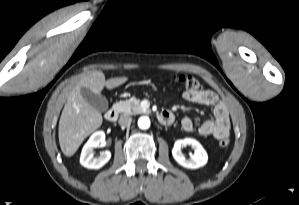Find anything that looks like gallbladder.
I'll list each match as a JSON object with an SVG mask.
<instances>
[{
    "label": "gallbladder",
    "mask_w": 299,
    "mask_h": 205,
    "mask_svg": "<svg viewBox=\"0 0 299 205\" xmlns=\"http://www.w3.org/2000/svg\"><path fill=\"white\" fill-rule=\"evenodd\" d=\"M83 98L96 110L104 112L108 109V101L105 96L101 94H95L88 88H81L80 90Z\"/></svg>",
    "instance_id": "gallbladder-1"
}]
</instances>
